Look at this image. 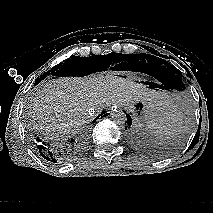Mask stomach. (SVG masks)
Here are the masks:
<instances>
[{
	"instance_id": "1",
	"label": "stomach",
	"mask_w": 213,
	"mask_h": 213,
	"mask_svg": "<svg viewBox=\"0 0 213 213\" xmlns=\"http://www.w3.org/2000/svg\"><path fill=\"white\" fill-rule=\"evenodd\" d=\"M129 110L137 119H141V117H143L148 124L149 122L155 120L157 114L162 112L164 109H158L156 107H152L148 102L139 101L130 106Z\"/></svg>"
}]
</instances>
